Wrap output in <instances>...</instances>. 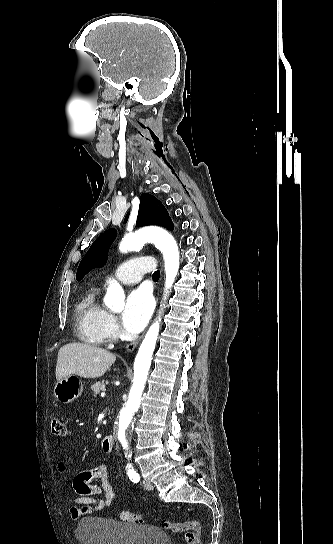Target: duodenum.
Here are the masks:
<instances>
[{
	"label": "duodenum",
	"instance_id": "410a0bca",
	"mask_svg": "<svg viewBox=\"0 0 333 544\" xmlns=\"http://www.w3.org/2000/svg\"><path fill=\"white\" fill-rule=\"evenodd\" d=\"M115 439L113 435L108 434L102 440V448L105 452H111L114 447Z\"/></svg>",
	"mask_w": 333,
	"mask_h": 544
}]
</instances>
